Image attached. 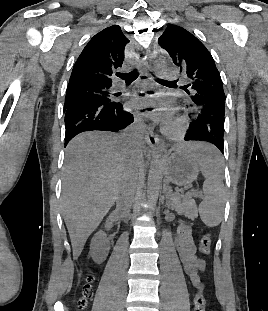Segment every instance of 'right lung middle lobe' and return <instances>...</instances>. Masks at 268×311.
I'll use <instances>...</instances> for the list:
<instances>
[{
  "label": "right lung middle lobe",
  "instance_id": "1",
  "mask_svg": "<svg viewBox=\"0 0 268 311\" xmlns=\"http://www.w3.org/2000/svg\"><path fill=\"white\" fill-rule=\"evenodd\" d=\"M72 102L99 103L102 105L113 103L110 100L109 87L92 85H76L67 88L64 109Z\"/></svg>",
  "mask_w": 268,
  "mask_h": 311
}]
</instances>
